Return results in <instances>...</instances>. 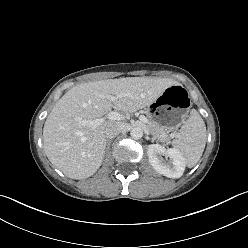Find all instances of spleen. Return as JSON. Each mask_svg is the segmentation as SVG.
Returning <instances> with one entry per match:
<instances>
[{
	"mask_svg": "<svg viewBox=\"0 0 248 248\" xmlns=\"http://www.w3.org/2000/svg\"><path fill=\"white\" fill-rule=\"evenodd\" d=\"M206 145V126L200 114L192 109L189 118L181 126L176 139L173 141L174 149L185 160L188 167L197 164Z\"/></svg>",
	"mask_w": 248,
	"mask_h": 248,
	"instance_id": "3e777b00",
	"label": "spleen"
}]
</instances>
